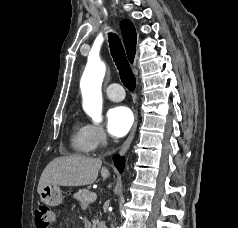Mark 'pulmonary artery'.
<instances>
[{"label": "pulmonary artery", "mask_w": 238, "mask_h": 228, "mask_svg": "<svg viewBox=\"0 0 238 228\" xmlns=\"http://www.w3.org/2000/svg\"><path fill=\"white\" fill-rule=\"evenodd\" d=\"M105 92L108 98L113 101H121L125 97V93L122 86L117 83L110 84L106 88Z\"/></svg>", "instance_id": "pulmonary-artery-1"}]
</instances>
